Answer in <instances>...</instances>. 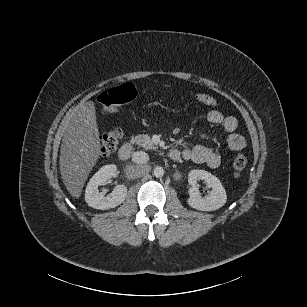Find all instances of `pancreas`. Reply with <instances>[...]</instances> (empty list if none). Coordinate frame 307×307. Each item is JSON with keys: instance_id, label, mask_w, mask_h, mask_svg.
<instances>
[{"instance_id": "cf45deb5", "label": "pancreas", "mask_w": 307, "mask_h": 307, "mask_svg": "<svg viewBox=\"0 0 307 307\" xmlns=\"http://www.w3.org/2000/svg\"><path fill=\"white\" fill-rule=\"evenodd\" d=\"M135 143L141 145L146 150H154L156 147L153 145V142L150 140L148 135L139 134L135 136Z\"/></svg>"}]
</instances>
